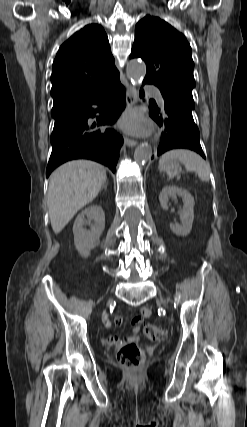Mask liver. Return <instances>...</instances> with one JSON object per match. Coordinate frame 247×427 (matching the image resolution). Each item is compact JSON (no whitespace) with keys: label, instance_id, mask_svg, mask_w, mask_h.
<instances>
[{"label":"liver","instance_id":"6515ba94","mask_svg":"<svg viewBox=\"0 0 247 427\" xmlns=\"http://www.w3.org/2000/svg\"><path fill=\"white\" fill-rule=\"evenodd\" d=\"M105 181V168L89 160L67 162L51 174L48 210L55 234L60 233L81 208L96 198Z\"/></svg>","mask_w":247,"mask_h":427}]
</instances>
